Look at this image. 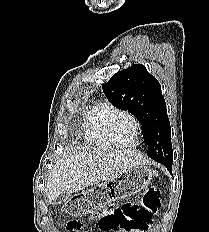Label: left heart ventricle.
I'll list each match as a JSON object with an SVG mask.
<instances>
[{"mask_svg":"<svg viewBox=\"0 0 209 232\" xmlns=\"http://www.w3.org/2000/svg\"><path fill=\"white\" fill-rule=\"evenodd\" d=\"M113 132L119 142L122 144H131L134 133V124L129 118L122 117L114 124Z\"/></svg>","mask_w":209,"mask_h":232,"instance_id":"left-heart-ventricle-1","label":"left heart ventricle"}]
</instances>
